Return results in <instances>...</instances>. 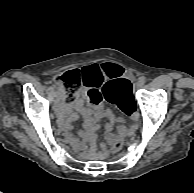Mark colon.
Segmentation results:
<instances>
[{
  "mask_svg": "<svg viewBox=\"0 0 194 193\" xmlns=\"http://www.w3.org/2000/svg\"><path fill=\"white\" fill-rule=\"evenodd\" d=\"M58 81L64 89L65 98L68 103L73 102L83 85V74L79 70H70L58 77ZM130 82L124 78H118L105 87V98L114 101L120 89H129ZM101 99V97H100ZM132 113V111H130ZM126 133L120 132L111 145V152H119L123 145Z\"/></svg>",
  "mask_w": 194,
  "mask_h": 193,
  "instance_id": "1",
  "label": "colon"
}]
</instances>
